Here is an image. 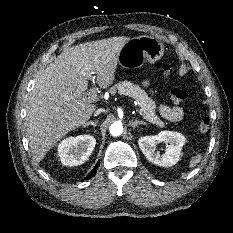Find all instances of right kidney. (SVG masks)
Returning a JSON list of instances; mask_svg holds the SVG:
<instances>
[{
  "instance_id": "1",
  "label": "right kidney",
  "mask_w": 233,
  "mask_h": 233,
  "mask_svg": "<svg viewBox=\"0 0 233 233\" xmlns=\"http://www.w3.org/2000/svg\"><path fill=\"white\" fill-rule=\"evenodd\" d=\"M96 139L91 135L68 137L58 145V155L63 165L78 166L92 154Z\"/></svg>"
}]
</instances>
